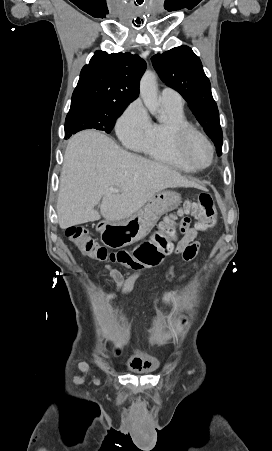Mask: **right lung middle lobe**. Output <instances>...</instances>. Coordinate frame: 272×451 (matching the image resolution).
Here are the masks:
<instances>
[{"mask_svg":"<svg viewBox=\"0 0 272 451\" xmlns=\"http://www.w3.org/2000/svg\"><path fill=\"white\" fill-rule=\"evenodd\" d=\"M127 105L94 101L71 103L65 120V139L84 129H97L110 133L116 119Z\"/></svg>","mask_w":272,"mask_h":451,"instance_id":"1","label":"right lung middle lobe"}]
</instances>
